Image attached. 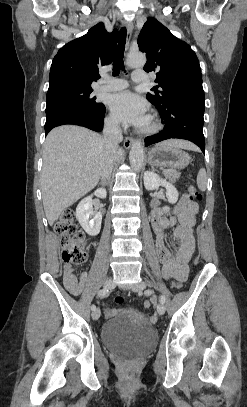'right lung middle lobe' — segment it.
<instances>
[{
  "label": "right lung middle lobe",
  "mask_w": 247,
  "mask_h": 407,
  "mask_svg": "<svg viewBox=\"0 0 247 407\" xmlns=\"http://www.w3.org/2000/svg\"><path fill=\"white\" fill-rule=\"evenodd\" d=\"M91 87H61L47 92L46 114L68 108H76L85 111H97L103 104L95 101L96 97L90 94Z\"/></svg>",
  "instance_id": "dd1d6c3e"
}]
</instances>
